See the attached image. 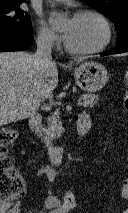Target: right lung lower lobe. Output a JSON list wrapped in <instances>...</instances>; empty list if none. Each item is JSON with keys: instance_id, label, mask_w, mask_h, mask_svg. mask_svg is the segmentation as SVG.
Instances as JSON below:
<instances>
[{"instance_id": "obj_1", "label": "right lung lower lobe", "mask_w": 128, "mask_h": 213, "mask_svg": "<svg viewBox=\"0 0 128 213\" xmlns=\"http://www.w3.org/2000/svg\"><path fill=\"white\" fill-rule=\"evenodd\" d=\"M33 33L29 34H0V52L24 51L30 48Z\"/></svg>"}]
</instances>
